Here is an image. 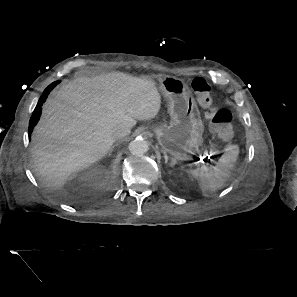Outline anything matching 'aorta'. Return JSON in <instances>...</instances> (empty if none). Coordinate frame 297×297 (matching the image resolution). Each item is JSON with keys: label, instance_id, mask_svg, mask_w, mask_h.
I'll return each instance as SVG.
<instances>
[{"label": "aorta", "instance_id": "aorta-1", "mask_svg": "<svg viewBox=\"0 0 297 297\" xmlns=\"http://www.w3.org/2000/svg\"><path fill=\"white\" fill-rule=\"evenodd\" d=\"M149 149L148 142L144 139H135L128 145V150L133 155H143Z\"/></svg>", "mask_w": 297, "mask_h": 297}]
</instances>
